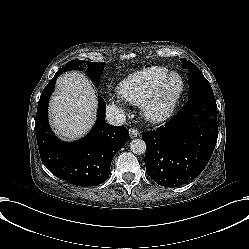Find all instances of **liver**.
Returning a JSON list of instances; mask_svg holds the SVG:
<instances>
[{
    "mask_svg": "<svg viewBox=\"0 0 249 249\" xmlns=\"http://www.w3.org/2000/svg\"><path fill=\"white\" fill-rule=\"evenodd\" d=\"M98 100L82 73L63 74L49 102V117L55 133L64 140L83 137L94 125Z\"/></svg>",
    "mask_w": 249,
    "mask_h": 249,
    "instance_id": "1",
    "label": "liver"
}]
</instances>
